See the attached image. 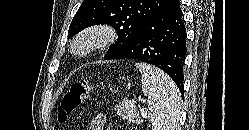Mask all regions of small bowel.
Wrapping results in <instances>:
<instances>
[{
	"mask_svg": "<svg viewBox=\"0 0 249 130\" xmlns=\"http://www.w3.org/2000/svg\"><path fill=\"white\" fill-rule=\"evenodd\" d=\"M106 119L104 115L97 114L91 121L89 130H104Z\"/></svg>",
	"mask_w": 249,
	"mask_h": 130,
	"instance_id": "c3829d8e",
	"label": "small bowel"
}]
</instances>
